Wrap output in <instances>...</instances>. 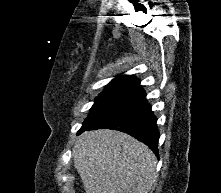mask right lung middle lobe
I'll use <instances>...</instances> for the list:
<instances>
[{
	"instance_id": "obj_1",
	"label": "right lung middle lobe",
	"mask_w": 221,
	"mask_h": 193,
	"mask_svg": "<svg viewBox=\"0 0 221 193\" xmlns=\"http://www.w3.org/2000/svg\"><path fill=\"white\" fill-rule=\"evenodd\" d=\"M144 90L141 87L112 84L95 99L88 117L83 125L97 121L106 115L115 112L139 97Z\"/></svg>"
}]
</instances>
